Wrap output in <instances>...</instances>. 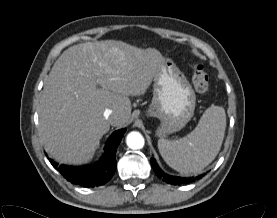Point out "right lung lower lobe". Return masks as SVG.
<instances>
[{"mask_svg":"<svg viewBox=\"0 0 277 218\" xmlns=\"http://www.w3.org/2000/svg\"><path fill=\"white\" fill-rule=\"evenodd\" d=\"M125 129L115 131L109 138L105 147V154L101 160L93 166L73 167L58 166L53 160L49 159L54 168H56L68 181L73 184L95 187L105 184L112 178L116 169V149L125 133Z\"/></svg>","mask_w":277,"mask_h":218,"instance_id":"obj_1","label":"right lung lower lobe"}]
</instances>
